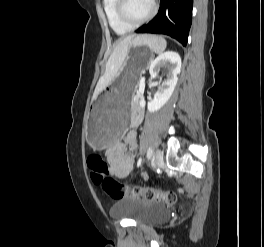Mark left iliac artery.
Instances as JSON below:
<instances>
[{"mask_svg": "<svg viewBox=\"0 0 264 247\" xmlns=\"http://www.w3.org/2000/svg\"><path fill=\"white\" fill-rule=\"evenodd\" d=\"M152 155H153V149L152 148H149L147 150V157H148V159H150L152 157Z\"/></svg>", "mask_w": 264, "mask_h": 247, "instance_id": "44dca946", "label": "left iliac artery"}]
</instances>
